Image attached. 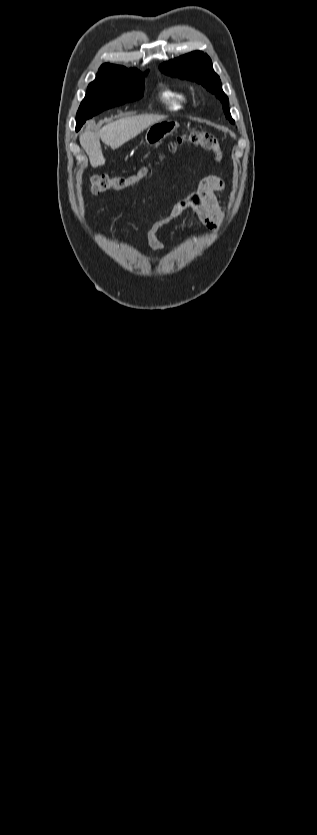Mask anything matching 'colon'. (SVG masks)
<instances>
[{
  "label": "colon",
  "instance_id": "obj_1",
  "mask_svg": "<svg viewBox=\"0 0 317 835\" xmlns=\"http://www.w3.org/2000/svg\"><path fill=\"white\" fill-rule=\"evenodd\" d=\"M182 142H187L196 148L211 151L215 154L217 159L221 158L222 151L217 138L201 129L193 130L183 137L178 138L171 144V148L176 149ZM147 172V168L144 167L139 169L136 173L128 176H110L107 174L94 175L91 177V191L93 194H101L110 190H122L125 187L143 179Z\"/></svg>",
  "mask_w": 317,
  "mask_h": 835
}]
</instances>
